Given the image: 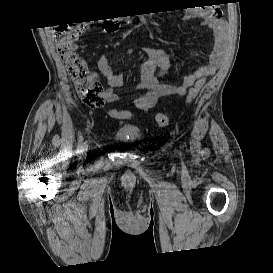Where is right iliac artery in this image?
Segmentation results:
<instances>
[{
  "label": "right iliac artery",
  "mask_w": 273,
  "mask_h": 273,
  "mask_svg": "<svg viewBox=\"0 0 273 273\" xmlns=\"http://www.w3.org/2000/svg\"><path fill=\"white\" fill-rule=\"evenodd\" d=\"M82 142H83V136H82V134H80L78 136V147H77V151H76L77 153H80L83 151Z\"/></svg>",
  "instance_id": "1"
}]
</instances>
